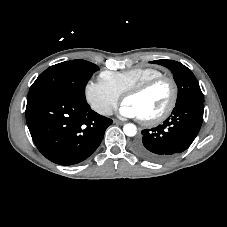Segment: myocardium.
<instances>
[{
	"label": "myocardium",
	"mask_w": 227,
	"mask_h": 227,
	"mask_svg": "<svg viewBox=\"0 0 227 227\" xmlns=\"http://www.w3.org/2000/svg\"><path fill=\"white\" fill-rule=\"evenodd\" d=\"M162 81L168 82L171 87V97H170L169 103L160 114L151 118H140L141 122L144 123L145 125H156L158 123H161L165 119H167L170 116V114L173 112L178 100V86L174 78H172L171 76L162 74V75L153 77L151 79H148L130 88L123 94V101H124L127 97L137 96L145 93L150 88H152L153 86H155L156 84Z\"/></svg>",
	"instance_id": "f54148a6"
}]
</instances>
